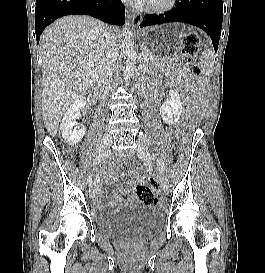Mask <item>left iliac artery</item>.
<instances>
[{
	"label": "left iliac artery",
	"instance_id": "left-iliac-artery-1",
	"mask_svg": "<svg viewBox=\"0 0 265 273\" xmlns=\"http://www.w3.org/2000/svg\"><path fill=\"white\" fill-rule=\"evenodd\" d=\"M139 138L144 142H149V138L142 132L139 133ZM159 171L162 174H164V172H165V166L162 161L159 162Z\"/></svg>",
	"mask_w": 265,
	"mask_h": 273
}]
</instances>
